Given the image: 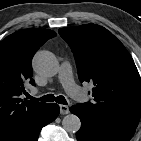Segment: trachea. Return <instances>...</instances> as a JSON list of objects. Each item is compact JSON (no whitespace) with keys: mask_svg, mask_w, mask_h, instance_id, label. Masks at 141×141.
I'll list each match as a JSON object with an SVG mask.
<instances>
[{"mask_svg":"<svg viewBox=\"0 0 141 141\" xmlns=\"http://www.w3.org/2000/svg\"><path fill=\"white\" fill-rule=\"evenodd\" d=\"M27 97L29 99H32V100H39V101H44V102H53V101H56L57 103L59 104H64V105H67V101L65 99L64 96H57L55 97L53 94H47L45 96H42L40 98H34L30 95H27Z\"/></svg>","mask_w":141,"mask_h":141,"instance_id":"3493384b","label":"trachea"}]
</instances>
